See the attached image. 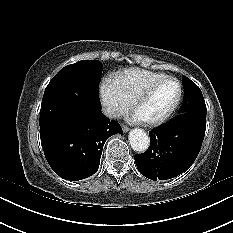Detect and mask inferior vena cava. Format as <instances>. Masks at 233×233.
<instances>
[{
    "label": "inferior vena cava",
    "mask_w": 233,
    "mask_h": 233,
    "mask_svg": "<svg viewBox=\"0 0 233 233\" xmlns=\"http://www.w3.org/2000/svg\"><path fill=\"white\" fill-rule=\"evenodd\" d=\"M102 111L106 116H108L110 118L116 115V110L113 108V106H111L107 103H103Z\"/></svg>",
    "instance_id": "obj_1"
}]
</instances>
